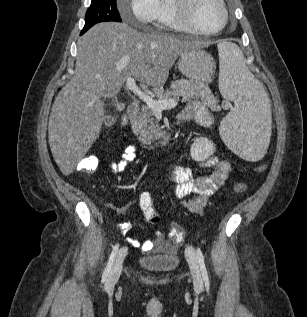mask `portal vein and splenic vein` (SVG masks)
Returning <instances> with one entry per match:
<instances>
[{
    "mask_svg": "<svg viewBox=\"0 0 307 317\" xmlns=\"http://www.w3.org/2000/svg\"><path fill=\"white\" fill-rule=\"evenodd\" d=\"M126 87L137 95L142 101H144L155 112H162L166 109H171L177 106L178 101L176 99L157 100L153 96H150L143 92L136 85L134 78H128L126 80Z\"/></svg>",
    "mask_w": 307,
    "mask_h": 317,
    "instance_id": "18ae733b",
    "label": "portal vein and splenic vein"
}]
</instances>
